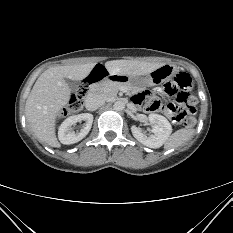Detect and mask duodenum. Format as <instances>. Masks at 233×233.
Segmentation results:
<instances>
[{
    "label": "duodenum",
    "mask_w": 233,
    "mask_h": 233,
    "mask_svg": "<svg viewBox=\"0 0 233 233\" xmlns=\"http://www.w3.org/2000/svg\"><path fill=\"white\" fill-rule=\"evenodd\" d=\"M113 74H109L105 72L103 66H96L95 71H93L87 78V82L85 84L87 93L90 92H100L101 86L99 85L98 81L109 78L110 80L114 81Z\"/></svg>",
    "instance_id": "1"
}]
</instances>
